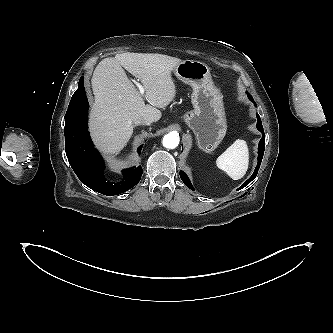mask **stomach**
Returning <instances> with one entry per match:
<instances>
[{"label":"stomach","instance_id":"stomach-1","mask_svg":"<svg viewBox=\"0 0 333 333\" xmlns=\"http://www.w3.org/2000/svg\"><path fill=\"white\" fill-rule=\"evenodd\" d=\"M174 72L179 80L193 88L194 109L184 115V121L194 132L198 147L211 152L223 140L227 122L222 94L213 83L210 68L200 61L184 60Z\"/></svg>","mask_w":333,"mask_h":333}]
</instances>
